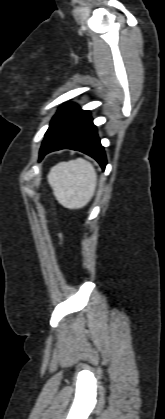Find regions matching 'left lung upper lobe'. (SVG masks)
<instances>
[{"instance_id":"5c2ea615","label":"left lung upper lobe","mask_w":165,"mask_h":419,"mask_svg":"<svg viewBox=\"0 0 165 419\" xmlns=\"http://www.w3.org/2000/svg\"><path fill=\"white\" fill-rule=\"evenodd\" d=\"M77 105L72 104V103H68V104H64L62 105L59 110L57 111V113L55 114V116L53 117V119L51 120L50 126L47 130V132L65 115L67 114L69 111H71L72 109H74ZM46 132V133H47ZM46 135V134H45Z\"/></svg>"}]
</instances>
